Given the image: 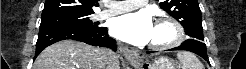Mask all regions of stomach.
<instances>
[{"instance_id":"0dacf381","label":"stomach","mask_w":246,"mask_h":69,"mask_svg":"<svg viewBox=\"0 0 246 69\" xmlns=\"http://www.w3.org/2000/svg\"><path fill=\"white\" fill-rule=\"evenodd\" d=\"M135 69H178L175 64L167 57H158L152 62L132 63Z\"/></svg>"}]
</instances>
